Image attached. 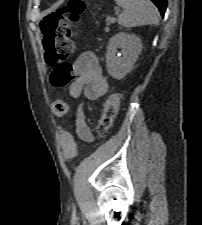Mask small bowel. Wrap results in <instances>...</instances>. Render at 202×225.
<instances>
[{
  "instance_id": "small-bowel-1",
  "label": "small bowel",
  "mask_w": 202,
  "mask_h": 225,
  "mask_svg": "<svg viewBox=\"0 0 202 225\" xmlns=\"http://www.w3.org/2000/svg\"><path fill=\"white\" fill-rule=\"evenodd\" d=\"M75 78L72 81L69 92L73 98L84 96L87 99L94 100L107 91V82L102 75L101 67L97 56L89 51L81 53L73 63ZM75 133L76 135L86 141L92 140V133L87 124L82 106L79 107L75 117ZM70 134L67 131H62L59 134V141L62 145V136ZM71 135V134H70Z\"/></svg>"
}]
</instances>
